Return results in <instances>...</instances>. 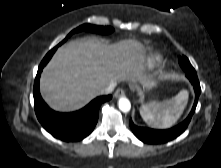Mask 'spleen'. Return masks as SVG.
Segmentation results:
<instances>
[{"label":"spleen","mask_w":221,"mask_h":168,"mask_svg":"<svg viewBox=\"0 0 221 168\" xmlns=\"http://www.w3.org/2000/svg\"><path fill=\"white\" fill-rule=\"evenodd\" d=\"M188 92L180 91L164 102H150L140 108V115L150 126L166 129L173 126L182 115L187 104Z\"/></svg>","instance_id":"1"}]
</instances>
